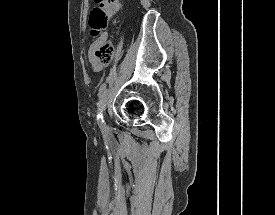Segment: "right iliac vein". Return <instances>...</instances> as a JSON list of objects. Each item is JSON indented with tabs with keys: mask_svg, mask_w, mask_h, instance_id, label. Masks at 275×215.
Wrapping results in <instances>:
<instances>
[{
	"mask_svg": "<svg viewBox=\"0 0 275 215\" xmlns=\"http://www.w3.org/2000/svg\"><path fill=\"white\" fill-rule=\"evenodd\" d=\"M106 102H107V97L105 96L102 100V104L100 107L102 111H105V109H106Z\"/></svg>",
	"mask_w": 275,
	"mask_h": 215,
	"instance_id": "obj_1",
	"label": "right iliac vein"
}]
</instances>
